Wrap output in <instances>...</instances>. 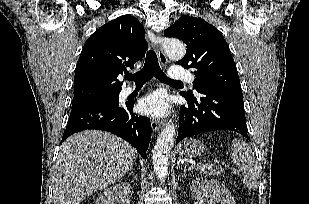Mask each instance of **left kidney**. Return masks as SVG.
<instances>
[{
  "mask_svg": "<svg viewBox=\"0 0 309 204\" xmlns=\"http://www.w3.org/2000/svg\"><path fill=\"white\" fill-rule=\"evenodd\" d=\"M190 189L197 200L209 197L215 203L236 204L228 188L215 179L197 178L192 181Z\"/></svg>",
  "mask_w": 309,
  "mask_h": 204,
  "instance_id": "1",
  "label": "left kidney"
}]
</instances>
